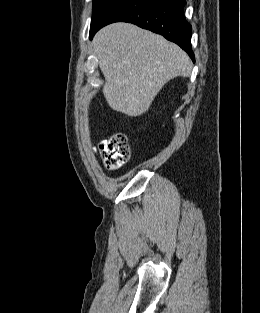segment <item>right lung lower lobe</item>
I'll list each match as a JSON object with an SVG mask.
<instances>
[{
	"mask_svg": "<svg viewBox=\"0 0 260 313\" xmlns=\"http://www.w3.org/2000/svg\"><path fill=\"white\" fill-rule=\"evenodd\" d=\"M185 4V0H118L90 29V39L105 25L130 22L178 44L195 61L191 25L183 14Z\"/></svg>",
	"mask_w": 260,
	"mask_h": 313,
	"instance_id": "98d812e1",
	"label": "right lung lower lobe"
}]
</instances>
